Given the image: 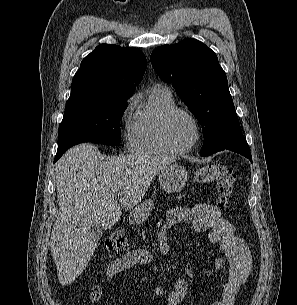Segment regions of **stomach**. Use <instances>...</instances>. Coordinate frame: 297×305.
<instances>
[{
	"label": "stomach",
	"mask_w": 297,
	"mask_h": 305,
	"mask_svg": "<svg viewBox=\"0 0 297 305\" xmlns=\"http://www.w3.org/2000/svg\"><path fill=\"white\" fill-rule=\"evenodd\" d=\"M187 181V171L178 164H170L159 173V183L166 192L180 191ZM153 201L146 200L135 207L130 215L132 223L140 224L144 222L153 208Z\"/></svg>",
	"instance_id": "1"
}]
</instances>
